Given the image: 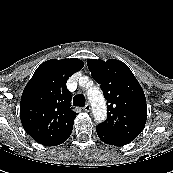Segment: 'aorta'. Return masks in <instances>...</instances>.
<instances>
[{
    "mask_svg": "<svg viewBox=\"0 0 173 173\" xmlns=\"http://www.w3.org/2000/svg\"><path fill=\"white\" fill-rule=\"evenodd\" d=\"M80 82L87 83L88 78L81 77ZM87 95L93 109V115L95 120L97 122L104 121L107 116V111H106L105 99L103 97L102 92L97 87H91L90 89H88Z\"/></svg>",
    "mask_w": 173,
    "mask_h": 173,
    "instance_id": "aorta-1",
    "label": "aorta"
}]
</instances>
